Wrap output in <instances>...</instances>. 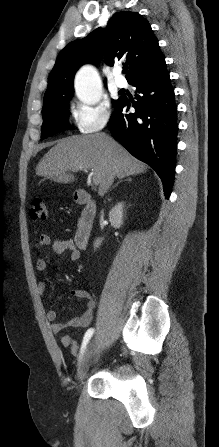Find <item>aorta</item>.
Returning a JSON list of instances; mask_svg holds the SVG:
<instances>
[{
    "label": "aorta",
    "mask_w": 219,
    "mask_h": 447,
    "mask_svg": "<svg viewBox=\"0 0 219 447\" xmlns=\"http://www.w3.org/2000/svg\"><path fill=\"white\" fill-rule=\"evenodd\" d=\"M75 90L79 100L85 104L94 105L100 101L102 94L95 68L87 65L78 71Z\"/></svg>",
    "instance_id": "obj_1"
}]
</instances>
